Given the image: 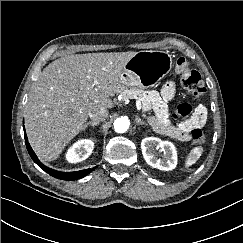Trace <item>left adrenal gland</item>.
<instances>
[{
    "instance_id": "1",
    "label": "left adrenal gland",
    "mask_w": 243,
    "mask_h": 243,
    "mask_svg": "<svg viewBox=\"0 0 243 243\" xmlns=\"http://www.w3.org/2000/svg\"><path fill=\"white\" fill-rule=\"evenodd\" d=\"M135 121L138 125H147V123L141 120V118L138 116L135 117Z\"/></svg>"
}]
</instances>
